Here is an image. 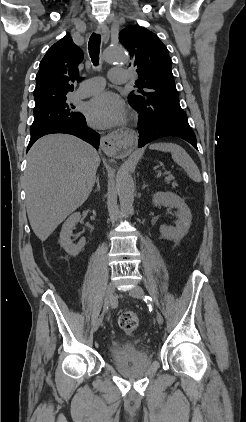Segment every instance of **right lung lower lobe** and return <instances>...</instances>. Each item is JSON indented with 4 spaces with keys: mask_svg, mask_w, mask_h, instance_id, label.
Segmentation results:
<instances>
[{
    "mask_svg": "<svg viewBox=\"0 0 246 422\" xmlns=\"http://www.w3.org/2000/svg\"><path fill=\"white\" fill-rule=\"evenodd\" d=\"M53 133H66L75 135L82 140L92 144L96 149L99 147L100 135L88 128L86 125L85 117L82 115L75 121L55 123L31 132V138L27 151L31 148L37 139L44 135Z\"/></svg>",
    "mask_w": 246,
    "mask_h": 422,
    "instance_id": "obj_1",
    "label": "right lung lower lobe"
}]
</instances>
